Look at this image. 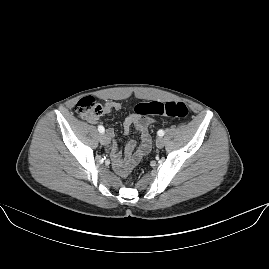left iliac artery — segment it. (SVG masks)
<instances>
[{
	"label": "left iliac artery",
	"mask_w": 269,
	"mask_h": 269,
	"mask_svg": "<svg viewBox=\"0 0 269 269\" xmlns=\"http://www.w3.org/2000/svg\"><path fill=\"white\" fill-rule=\"evenodd\" d=\"M157 134H158L159 136H163L165 133H164L163 130H159V131L157 132Z\"/></svg>",
	"instance_id": "44dca946"
}]
</instances>
